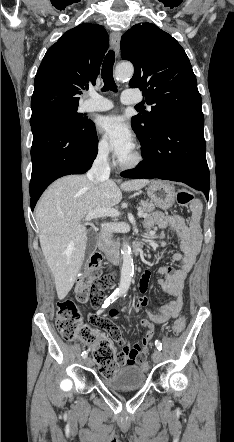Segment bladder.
Segmentation results:
<instances>
[{
	"label": "bladder",
	"instance_id": "obj_1",
	"mask_svg": "<svg viewBox=\"0 0 234 442\" xmlns=\"http://www.w3.org/2000/svg\"><path fill=\"white\" fill-rule=\"evenodd\" d=\"M146 382V369L138 365H126L112 377H103L102 383L111 390H132Z\"/></svg>",
	"mask_w": 234,
	"mask_h": 442
}]
</instances>
